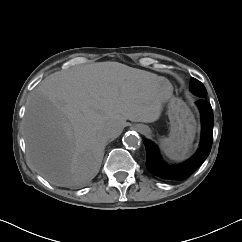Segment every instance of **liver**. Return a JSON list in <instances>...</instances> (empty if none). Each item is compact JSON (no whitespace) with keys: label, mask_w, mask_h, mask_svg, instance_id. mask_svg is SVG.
<instances>
[{"label":"liver","mask_w":242,"mask_h":242,"mask_svg":"<svg viewBox=\"0 0 242 242\" xmlns=\"http://www.w3.org/2000/svg\"><path fill=\"white\" fill-rule=\"evenodd\" d=\"M173 95L170 81L119 62H98L46 77L26 102L28 157L51 184L69 187L98 173L112 122L151 123ZM121 134V133H120Z\"/></svg>","instance_id":"obj_1"}]
</instances>
